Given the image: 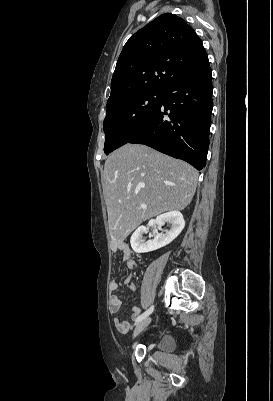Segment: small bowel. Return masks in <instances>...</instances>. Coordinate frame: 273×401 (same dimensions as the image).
I'll return each mask as SVG.
<instances>
[{"instance_id": "small-bowel-1", "label": "small bowel", "mask_w": 273, "mask_h": 401, "mask_svg": "<svg viewBox=\"0 0 273 401\" xmlns=\"http://www.w3.org/2000/svg\"><path fill=\"white\" fill-rule=\"evenodd\" d=\"M112 251L117 255V253H121L122 255V260L125 262L126 266L129 269H132L135 267L136 263L133 259V254L130 246L125 243V242H114L112 244ZM125 286L131 290V291H136V284L132 281L130 278H126L124 281ZM119 282L117 281L116 278H111L109 282V290L111 292L110 296V312L113 314H116L120 311L121 306H122V301L117 295V292L119 290ZM142 302L143 304H154L155 302V297L154 295H143L142 297ZM142 316V308L139 306H134L131 310V319L133 321L138 320ZM113 326L114 328L122 334L129 333L130 331L133 330L134 326L126 321L122 320L118 317H115L113 319Z\"/></svg>"}]
</instances>
